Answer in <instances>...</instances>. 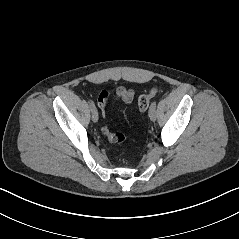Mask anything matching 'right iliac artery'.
I'll return each mask as SVG.
<instances>
[{
  "label": "right iliac artery",
  "mask_w": 239,
  "mask_h": 239,
  "mask_svg": "<svg viewBox=\"0 0 239 239\" xmlns=\"http://www.w3.org/2000/svg\"><path fill=\"white\" fill-rule=\"evenodd\" d=\"M89 104H90L91 110L96 109V108H95V104H94L93 101L90 100V101H89Z\"/></svg>",
  "instance_id": "obj_1"
}]
</instances>
